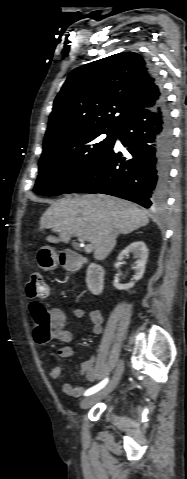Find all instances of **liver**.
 Returning a JSON list of instances; mask_svg holds the SVG:
<instances>
[{
    "label": "liver",
    "mask_w": 187,
    "mask_h": 479,
    "mask_svg": "<svg viewBox=\"0 0 187 479\" xmlns=\"http://www.w3.org/2000/svg\"><path fill=\"white\" fill-rule=\"evenodd\" d=\"M149 223L147 213L135 204L108 195L66 197L53 203L40 219V230L53 228L59 237L51 243H69L73 236L89 241L96 260H104L116 246L119 234H129Z\"/></svg>",
    "instance_id": "liver-1"
}]
</instances>
